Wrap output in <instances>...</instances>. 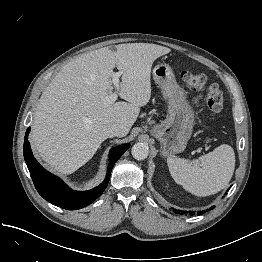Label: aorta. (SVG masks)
Listing matches in <instances>:
<instances>
[{
  "label": "aorta",
  "mask_w": 262,
  "mask_h": 262,
  "mask_svg": "<svg viewBox=\"0 0 262 262\" xmlns=\"http://www.w3.org/2000/svg\"><path fill=\"white\" fill-rule=\"evenodd\" d=\"M131 153L136 160H144L149 154V148L145 143H136L133 145Z\"/></svg>",
  "instance_id": "aorta-1"
}]
</instances>
